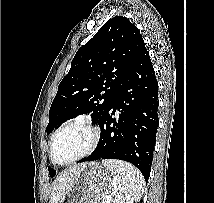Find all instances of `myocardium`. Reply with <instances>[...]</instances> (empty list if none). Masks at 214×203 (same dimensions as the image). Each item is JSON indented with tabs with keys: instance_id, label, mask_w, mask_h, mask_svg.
<instances>
[{
	"instance_id": "obj_1",
	"label": "myocardium",
	"mask_w": 214,
	"mask_h": 203,
	"mask_svg": "<svg viewBox=\"0 0 214 203\" xmlns=\"http://www.w3.org/2000/svg\"><path fill=\"white\" fill-rule=\"evenodd\" d=\"M75 126H80V127H84L86 129H88L91 132V136H92L91 142H90L88 148L84 152H82L80 155L76 156L75 158H73L67 162H63V163L57 162L54 157V148H55L57 138L64 130H66L70 127H75ZM99 139H100V130L98 129V127L96 125H94L88 121H83V120H75V121L69 122V123L63 125L62 127H60L54 133V135L52 137L51 147H50L51 161L54 164L62 165V166H66V165L75 163V162L87 157L89 154H91L94 151V149L97 147V145L99 143Z\"/></svg>"
}]
</instances>
